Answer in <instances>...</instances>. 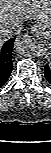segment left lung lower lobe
<instances>
[{
	"instance_id": "0a47b994",
	"label": "left lung lower lobe",
	"mask_w": 51,
	"mask_h": 153,
	"mask_svg": "<svg viewBox=\"0 0 51 153\" xmlns=\"http://www.w3.org/2000/svg\"><path fill=\"white\" fill-rule=\"evenodd\" d=\"M44 74L47 81L51 84V68H49L48 65H46L44 68Z\"/></svg>"
}]
</instances>
